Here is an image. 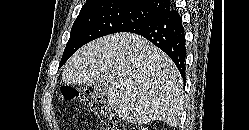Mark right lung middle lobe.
Listing matches in <instances>:
<instances>
[{
    "label": "right lung middle lobe",
    "instance_id": "right-lung-middle-lobe-1",
    "mask_svg": "<svg viewBox=\"0 0 249 130\" xmlns=\"http://www.w3.org/2000/svg\"><path fill=\"white\" fill-rule=\"evenodd\" d=\"M158 16L153 11L114 2L84 5L72 26L59 67L84 44L108 34L125 32Z\"/></svg>",
    "mask_w": 249,
    "mask_h": 130
}]
</instances>
